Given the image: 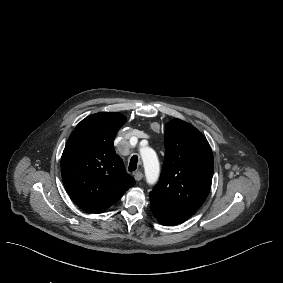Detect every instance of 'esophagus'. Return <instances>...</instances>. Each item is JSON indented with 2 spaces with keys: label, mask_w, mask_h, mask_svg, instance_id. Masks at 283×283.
Returning <instances> with one entry per match:
<instances>
[{
  "label": "esophagus",
  "mask_w": 283,
  "mask_h": 283,
  "mask_svg": "<svg viewBox=\"0 0 283 283\" xmlns=\"http://www.w3.org/2000/svg\"><path fill=\"white\" fill-rule=\"evenodd\" d=\"M143 176H144L143 173L140 172V171H137V172L134 174V178H135L136 181L142 180Z\"/></svg>",
  "instance_id": "34e87169"
}]
</instances>
